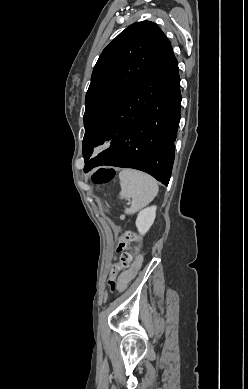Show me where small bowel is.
<instances>
[{
  "label": "small bowel",
  "instance_id": "small-bowel-1",
  "mask_svg": "<svg viewBox=\"0 0 248 389\" xmlns=\"http://www.w3.org/2000/svg\"><path fill=\"white\" fill-rule=\"evenodd\" d=\"M127 245H125L126 247ZM139 268V264H135L130 270L120 274L117 278V285L119 290H124L128 283L134 278L137 270Z\"/></svg>",
  "mask_w": 248,
  "mask_h": 389
}]
</instances>
